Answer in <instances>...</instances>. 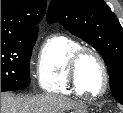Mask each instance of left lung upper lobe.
<instances>
[{
  "label": "left lung upper lobe",
  "instance_id": "5c2ea615",
  "mask_svg": "<svg viewBox=\"0 0 123 113\" xmlns=\"http://www.w3.org/2000/svg\"><path fill=\"white\" fill-rule=\"evenodd\" d=\"M48 22H58L93 46L107 65L110 87L123 105V29L103 0H52Z\"/></svg>",
  "mask_w": 123,
  "mask_h": 113
}]
</instances>
